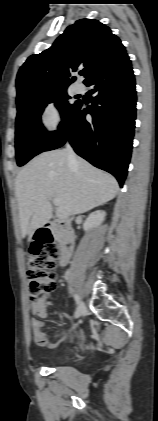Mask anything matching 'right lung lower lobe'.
Returning a JSON list of instances; mask_svg holds the SVG:
<instances>
[{
	"instance_id": "98d812e1",
	"label": "right lung lower lobe",
	"mask_w": 158,
	"mask_h": 421,
	"mask_svg": "<svg viewBox=\"0 0 158 421\" xmlns=\"http://www.w3.org/2000/svg\"><path fill=\"white\" fill-rule=\"evenodd\" d=\"M91 105L80 101L44 151L69 141L75 152L114 175L123 186L131 157L136 116L135 79L126 52L119 54L86 83ZM86 114L92 120L85 119Z\"/></svg>"
}]
</instances>
